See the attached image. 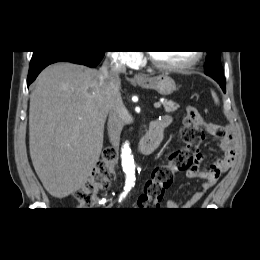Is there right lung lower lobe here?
I'll return each mask as SVG.
<instances>
[{
    "label": "right lung lower lobe",
    "mask_w": 260,
    "mask_h": 260,
    "mask_svg": "<svg viewBox=\"0 0 260 260\" xmlns=\"http://www.w3.org/2000/svg\"><path fill=\"white\" fill-rule=\"evenodd\" d=\"M105 51H48L34 52L30 61V68L27 78L29 86L38 76V74L48 65L67 61L77 64L95 67L104 57Z\"/></svg>",
    "instance_id": "98d812e1"
}]
</instances>
